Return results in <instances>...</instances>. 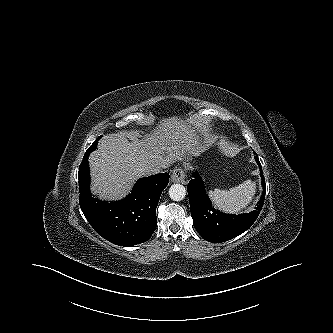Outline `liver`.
Masks as SVG:
<instances>
[{
  "label": "liver",
  "mask_w": 333,
  "mask_h": 333,
  "mask_svg": "<svg viewBox=\"0 0 333 333\" xmlns=\"http://www.w3.org/2000/svg\"><path fill=\"white\" fill-rule=\"evenodd\" d=\"M200 123L196 119L166 118L151 136L139 140L135 132L105 135L98 149L89 156L92 192L104 200H119L130 191L132 184L143 177L146 166L166 163L168 166L182 157L187 161L199 156Z\"/></svg>",
  "instance_id": "liver-1"
}]
</instances>
